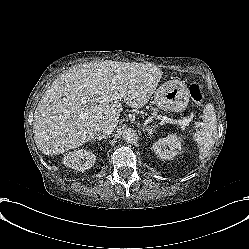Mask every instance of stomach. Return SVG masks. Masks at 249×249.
<instances>
[{"instance_id": "1", "label": "stomach", "mask_w": 249, "mask_h": 249, "mask_svg": "<svg viewBox=\"0 0 249 249\" xmlns=\"http://www.w3.org/2000/svg\"><path fill=\"white\" fill-rule=\"evenodd\" d=\"M154 101L164 111L180 112L189 103V93L185 84L171 81L155 91Z\"/></svg>"}]
</instances>
